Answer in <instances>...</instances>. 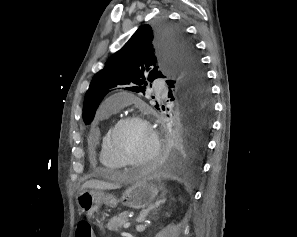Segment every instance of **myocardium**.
<instances>
[{
  "label": "myocardium",
  "instance_id": "obj_1",
  "mask_svg": "<svg viewBox=\"0 0 297 237\" xmlns=\"http://www.w3.org/2000/svg\"><path fill=\"white\" fill-rule=\"evenodd\" d=\"M140 123L143 124L144 126L147 127L149 130L151 137H152V142H153V147L147 157L141 160L133 161V160H128L125 159L119 151L116 149L114 145V135L116 131L123 125L127 123ZM106 143H107V148L110 152V154L124 167V166H139V165H147L149 163H152L155 161L161 152V141L159 134L154 127V125L150 122L148 118H146L144 115L141 114H131V115H126L121 118H119L113 126L109 129L107 135H106Z\"/></svg>",
  "mask_w": 297,
  "mask_h": 237
}]
</instances>
